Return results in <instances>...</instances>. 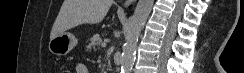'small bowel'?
<instances>
[{"mask_svg": "<svg viewBox=\"0 0 244 73\" xmlns=\"http://www.w3.org/2000/svg\"><path fill=\"white\" fill-rule=\"evenodd\" d=\"M75 72L76 73H88V69L85 64L79 63L75 67Z\"/></svg>", "mask_w": 244, "mask_h": 73, "instance_id": "c3829d8e", "label": "small bowel"}]
</instances>
